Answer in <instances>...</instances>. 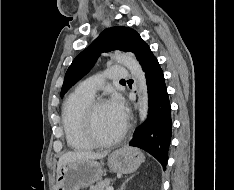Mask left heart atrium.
<instances>
[{"instance_id": "1", "label": "left heart atrium", "mask_w": 234, "mask_h": 190, "mask_svg": "<svg viewBox=\"0 0 234 190\" xmlns=\"http://www.w3.org/2000/svg\"><path fill=\"white\" fill-rule=\"evenodd\" d=\"M107 104L116 118L124 124L127 119V110L123 99L118 95H114Z\"/></svg>"}]
</instances>
